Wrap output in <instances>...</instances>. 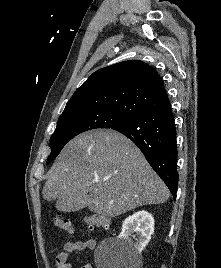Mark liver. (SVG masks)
<instances>
[{
  "label": "liver",
  "mask_w": 221,
  "mask_h": 268,
  "mask_svg": "<svg viewBox=\"0 0 221 268\" xmlns=\"http://www.w3.org/2000/svg\"><path fill=\"white\" fill-rule=\"evenodd\" d=\"M43 198L116 217L167 201L170 192L138 147L114 130H93L72 139L61 151L43 188Z\"/></svg>",
  "instance_id": "liver-1"
}]
</instances>
